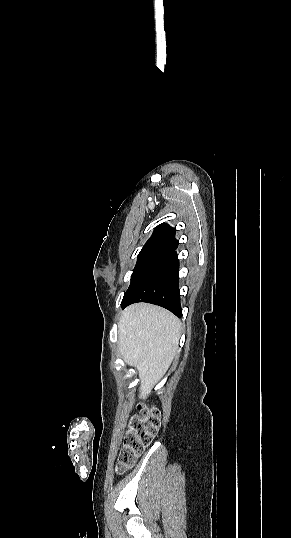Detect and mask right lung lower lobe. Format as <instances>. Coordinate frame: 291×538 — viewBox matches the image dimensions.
<instances>
[{"instance_id": "obj_1", "label": "right lung lower lobe", "mask_w": 291, "mask_h": 538, "mask_svg": "<svg viewBox=\"0 0 291 538\" xmlns=\"http://www.w3.org/2000/svg\"><path fill=\"white\" fill-rule=\"evenodd\" d=\"M178 268L179 259L176 251H173L137 286L122 309L136 302H147L162 306L180 317Z\"/></svg>"}]
</instances>
